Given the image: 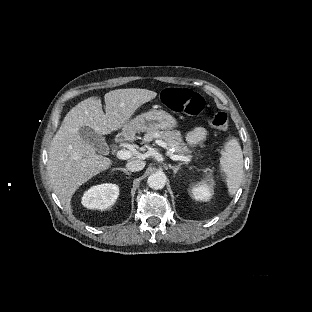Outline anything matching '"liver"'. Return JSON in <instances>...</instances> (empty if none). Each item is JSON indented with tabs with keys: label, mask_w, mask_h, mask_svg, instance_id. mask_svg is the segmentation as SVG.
I'll use <instances>...</instances> for the list:
<instances>
[{
	"label": "liver",
	"mask_w": 312,
	"mask_h": 312,
	"mask_svg": "<svg viewBox=\"0 0 312 312\" xmlns=\"http://www.w3.org/2000/svg\"><path fill=\"white\" fill-rule=\"evenodd\" d=\"M157 93L147 89H117L105 94V112L101 100L90 97L73 107L53 137L49 147L47 172L50 184L61 204L71 213V197L75 191L107 170L111 160L97 155L95 149L80 137L78 131L88 126L101 135L124 126L133 113Z\"/></svg>",
	"instance_id": "obj_1"
}]
</instances>
